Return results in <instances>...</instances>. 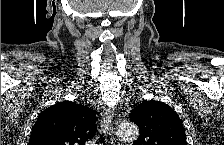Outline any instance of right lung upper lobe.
Masks as SVG:
<instances>
[{
    "label": "right lung upper lobe",
    "instance_id": "obj_1",
    "mask_svg": "<svg viewBox=\"0 0 224 145\" xmlns=\"http://www.w3.org/2000/svg\"><path fill=\"white\" fill-rule=\"evenodd\" d=\"M96 114L76 102H58L39 115L29 145H84L96 132Z\"/></svg>",
    "mask_w": 224,
    "mask_h": 145
}]
</instances>
